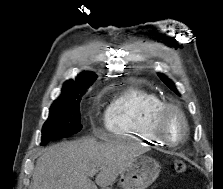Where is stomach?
Returning a JSON list of instances; mask_svg holds the SVG:
<instances>
[{
    "mask_svg": "<svg viewBox=\"0 0 223 189\" xmlns=\"http://www.w3.org/2000/svg\"><path fill=\"white\" fill-rule=\"evenodd\" d=\"M160 173L157 161L148 156L135 157L126 166L119 178L122 189H146Z\"/></svg>",
    "mask_w": 223,
    "mask_h": 189,
    "instance_id": "obj_1",
    "label": "stomach"
}]
</instances>
